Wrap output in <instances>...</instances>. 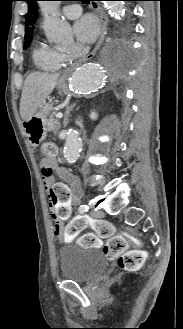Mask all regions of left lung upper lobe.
<instances>
[{
  "instance_id": "5c2ea615",
  "label": "left lung upper lobe",
  "mask_w": 183,
  "mask_h": 329,
  "mask_svg": "<svg viewBox=\"0 0 183 329\" xmlns=\"http://www.w3.org/2000/svg\"><path fill=\"white\" fill-rule=\"evenodd\" d=\"M28 3V13L25 18L26 28H25V47L26 49L32 41L33 27L32 25L36 22L37 19V4L38 0H25Z\"/></svg>"
}]
</instances>
